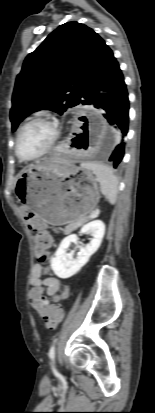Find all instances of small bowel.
Here are the masks:
<instances>
[{"label": "small bowel", "mask_w": 155, "mask_h": 413, "mask_svg": "<svg viewBox=\"0 0 155 413\" xmlns=\"http://www.w3.org/2000/svg\"><path fill=\"white\" fill-rule=\"evenodd\" d=\"M18 212L21 216V221L24 223L25 227H28L29 231H48V222H43L42 218H36L33 211L29 209L27 205H20L18 207ZM47 237V246H50L52 239L50 235L44 232ZM41 265L35 264L32 267L30 275L31 293H37L43 296L44 293L47 296H54L60 289V281L55 277L46 276V274H41L39 271ZM34 308V307H33Z\"/></svg>", "instance_id": "c3829d8e"}]
</instances>
